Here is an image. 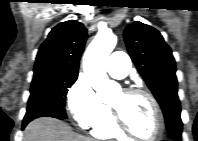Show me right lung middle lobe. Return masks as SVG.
Here are the masks:
<instances>
[{"instance_id":"1","label":"right lung middle lobe","mask_w":198,"mask_h":141,"mask_svg":"<svg viewBox=\"0 0 198 141\" xmlns=\"http://www.w3.org/2000/svg\"><path fill=\"white\" fill-rule=\"evenodd\" d=\"M77 77L78 74H34L23 122L44 116L41 114H51L66 119L64 109L66 94Z\"/></svg>"}]
</instances>
